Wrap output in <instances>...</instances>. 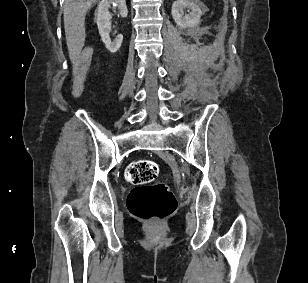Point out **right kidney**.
I'll use <instances>...</instances> for the list:
<instances>
[{
  "label": "right kidney",
  "mask_w": 308,
  "mask_h": 283,
  "mask_svg": "<svg viewBox=\"0 0 308 283\" xmlns=\"http://www.w3.org/2000/svg\"><path fill=\"white\" fill-rule=\"evenodd\" d=\"M111 4H114L118 7L120 16L122 18L127 16L128 10L125 0H101L96 12V23L105 47L111 53H116L122 44L123 36L119 34L113 41H111L109 36L111 31V14L109 12V8Z\"/></svg>",
  "instance_id": "ca27d5eb"
}]
</instances>
